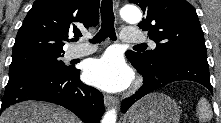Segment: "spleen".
Listing matches in <instances>:
<instances>
[{
	"label": "spleen",
	"instance_id": "spleen-1",
	"mask_svg": "<svg viewBox=\"0 0 221 123\" xmlns=\"http://www.w3.org/2000/svg\"><path fill=\"white\" fill-rule=\"evenodd\" d=\"M197 113L200 122L210 121L212 118V110L210 108L209 102L205 98H200L197 104Z\"/></svg>",
	"mask_w": 221,
	"mask_h": 123
}]
</instances>
